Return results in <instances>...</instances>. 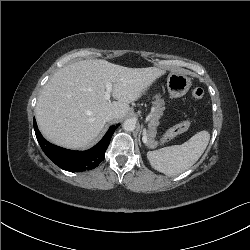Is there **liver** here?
<instances>
[{"label": "liver", "instance_id": "obj_1", "mask_svg": "<svg viewBox=\"0 0 250 250\" xmlns=\"http://www.w3.org/2000/svg\"><path fill=\"white\" fill-rule=\"evenodd\" d=\"M165 71L157 67L128 68L106 60H82L59 69L45 84L36 104V120L43 136L69 149L93 144L104 128L107 113L122 119L129 103ZM106 82L112 83V96L104 98Z\"/></svg>", "mask_w": 250, "mask_h": 250}]
</instances>
